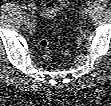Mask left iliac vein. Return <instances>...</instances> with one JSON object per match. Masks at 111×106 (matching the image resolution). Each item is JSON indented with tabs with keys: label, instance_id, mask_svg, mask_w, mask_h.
Instances as JSON below:
<instances>
[{
	"label": "left iliac vein",
	"instance_id": "4c4485c4",
	"mask_svg": "<svg viewBox=\"0 0 111 106\" xmlns=\"http://www.w3.org/2000/svg\"><path fill=\"white\" fill-rule=\"evenodd\" d=\"M88 13H89V10H88L87 8H84V9L82 10V12H81V15H82L83 17H85V16L88 15Z\"/></svg>",
	"mask_w": 111,
	"mask_h": 106
}]
</instances>
